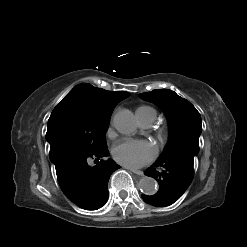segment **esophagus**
<instances>
[{"instance_id": "obj_1", "label": "esophagus", "mask_w": 247, "mask_h": 247, "mask_svg": "<svg viewBox=\"0 0 247 247\" xmlns=\"http://www.w3.org/2000/svg\"><path fill=\"white\" fill-rule=\"evenodd\" d=\"M129 170L137 175L143 176V172L141 170H137V169H129Z\"/></svg>"}]
</instances>
